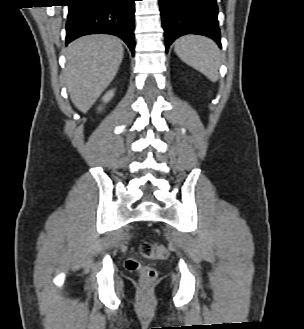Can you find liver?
<instances>
[{
    "label": "liver",
    "mask_w": 304,
    "mask_h": 329,
    "mask_svg": "<svg viewBox=\"0 0 304 329\" xmlns=\"http://www.w3.org/2000/svg\"><path fill=\"white\" fill-rule=\"evenodd\" d=\"M124 49L110 35H87L66 50L65 83L77 109L87 112L114 79Z\"/></svg>",
    "instance_id": "6515ba94"
}]
</instances>
